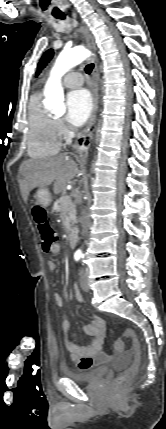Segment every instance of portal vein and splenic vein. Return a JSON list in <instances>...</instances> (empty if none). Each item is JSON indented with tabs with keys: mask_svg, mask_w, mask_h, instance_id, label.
I'll return each mask as SVG.
<instances>
[{
	"mask_svg": "<svg viewBox=\"0 0 166 429\" xmlns=\"http://www.w3.org/2000/svg\"><path fill=\"white\" fill-rule=\"evenodd\" d=\"M66 200H67V201H69V200H70V197L68 196V197L66 198Z\"/></svg>",
	"mask_w": 166,
	"mask_h": 429,
	"instance_id": "1",
	"label": "portal vein and splenic vein"
}]
</instances>
